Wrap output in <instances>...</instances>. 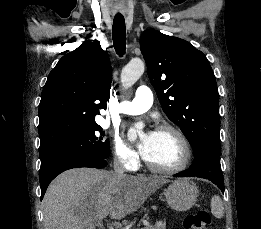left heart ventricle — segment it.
<instances>
[{"label": "left heart ventricle", "mask_w": 261, "mask_h": 229, "mask_svg": "<svg viewBox=\"0 0 261 229\" xmlns=\"http://www.w3.org/2000/svg\"><path fill=\"white\" fill-rule=\"evenodd\" d=\"M144 156L155 166L171 167L180 161L181 147L172 133L155 131Z\"/></svg>", "instance_id": "left-heart-ventricle-1"}]
</instances>
